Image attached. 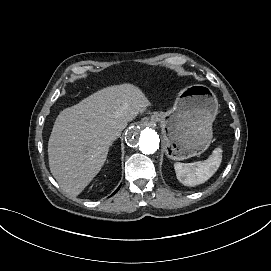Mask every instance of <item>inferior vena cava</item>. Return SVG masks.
<instances>
[{
    "mask_svg": "<svg viewBox=\"0 0 271 271\" xmlns=\"http://www.w3.org/2000/svg\"><path fill=\"white\" fill-rule=\"evenodd\" d=\"M120 136V132H116L115 134H113L112 136H110V140H115L117 137Z\"/></svg>",
    "mask_w": 271,
    "mask_h": 271,
    "instance_id": "inferior-vena-cava-1",
    "label": "inferior vena cava"
}]
</instances>
